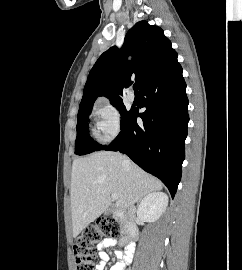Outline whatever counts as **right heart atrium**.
I'll return each instance as SVG.
<instances>
[{"mask_svg":"<svg viewBox=\"0 0 242 270\" xmlns=\"http://www.w3.org/2000/svg\"><path fill=\"white\" fill-rule=\"evenodd\" d=\"M97 136L102 142L114 139L121 130V115L118 108L106 99L99 101L94 109Z\"/></svg>","mask_w":242,"mask_h":270,"instance_id":"d8ad5b80","label":"right heart atrium"}]
</instances>
